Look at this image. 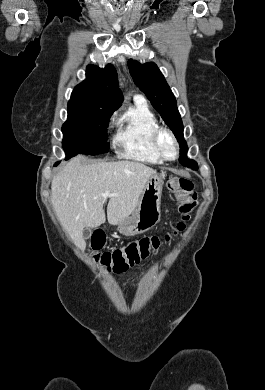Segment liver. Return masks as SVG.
<instances>
[{
	"instance_id": "6515ba94",
	"label": "liver",
	"mask_w": 265,
	"mask_h": 390,
	"mask_svg": "<svg viewBox=\"0 0 265 390\" xmlns=\"http://www.w3.org/2000/svg\"><path fill=\"white\" fill-rule=\"evenodd\" d=\"M156 170L135 161L84 163L77 156L66 164L52 179L51 202L54 211L72 241L84 249V228H96L106 220L103 209L110 191L113 196L107 206L109 224L135 210L143 189Z\"/></svg>"
}]
</instances>
